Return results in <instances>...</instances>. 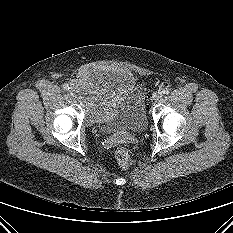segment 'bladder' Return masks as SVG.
<instances>
[{"instance_id": "obj_1", "label": "bladder", "mask_w": 233, "mask_h": 233, "mask_svg": "<svg viewBox=\"0 0 233 233\" xmlns=\"http://www.w3.org/2000/svg\"><path fill=\"white\" fill-rule=\"evenodd\" d=\"M71 92L83 104L85 119L107 132H142L147 128L144 90L123 69L89 65L71 81Z\"/></svg>"}]
</instances>
